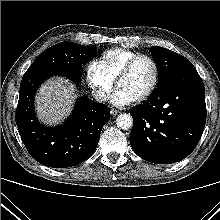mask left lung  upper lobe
Wrapping results in <instances>:
<instances>
[{"mask_svg":"<svg viewBox=\"0 0 220 220\" xmlns=\"http://www.w3.org/2000/svg\"><path fill=\"white\" fill-rule=\"evenodd\" d=\"M150 52L159 72L157 88L175 74L195 68L185 57L163 47L152 46Z\"/></svg>","mask_w":220,"mask_h":220,"instance_id":"left-lung-upper-lobe-1","label":"left lung upper lobe"}]
</instances>
